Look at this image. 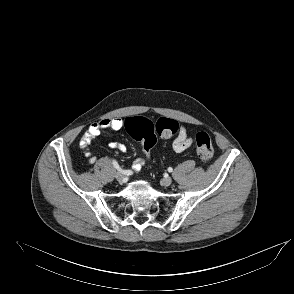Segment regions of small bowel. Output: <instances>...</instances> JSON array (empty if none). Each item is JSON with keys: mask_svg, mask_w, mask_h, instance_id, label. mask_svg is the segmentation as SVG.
<instances>
[{"mask_svg": "<svg viewBox=\"0 0 294 294\" xmlns=\"http://www.w3.org/2000/svg\"><path fill=\"white\" fill-rule=\"evenodd\" d=\"M127 119L120 117L106 118L98 122H95L89 126L84 135L80 140V147L82 149L83 155L87 158L90 164L95 163L96 157L90 152L89 147L93 140H95L104 129L120 130L126 126ZM193 143V139L188 135L187 130L181 127L178 135L172 143V150L175 153H181L188 149ZM109 147L116 149L122 153L127 151V147L119 142H110ZM144 159H137L133 163L134 170L138 171L144 165Z\"/></svg>", "mask_w": 294, "mask_h": 294, "instance_id": "1", "label": "small bowel"}]
</instances>
